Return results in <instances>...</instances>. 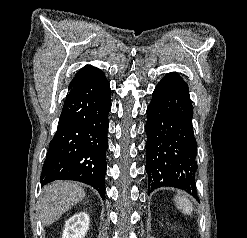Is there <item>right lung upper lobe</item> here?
Listing matches in <instances>:
<instances>
[{
    "label": "right lung upper lobe",
    "instance_id": "1",
    "mask_svg": "<svg viewBox=\"0 0 247 238\" xmlns=\"http://www.w3.org/2000/svg\"><path fill=\"white\" fill-rule=\"evenodd\" d=\"M93 69H95V67H92L91 65H86L85 67L80 69L75 75V77L73 78V80L70 82L69 89H71L79 79H81L84 75H86Z\"/></svg>",
    "mask_w": 247,
    "mask_h": 238
}]
</instances>
